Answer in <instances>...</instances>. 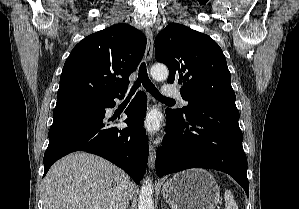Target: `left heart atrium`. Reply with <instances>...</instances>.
<instances>
[{"label":"left heart atrium","mask_w":299,"mask_h":209,"mask_svg":"<svg viewBox=\"0 0 299 209\" xmlns=\"http://www.w3.org/2000/svg\"><path fill=\"white\" fill-rule=\"evenodd\" d=\"M143 125L147 130L151 132H155L156 130H158L160 124L157 114L155 112L148 113L144 118Z\"/></svg>","instance_id":"left-heart-atrium-1"}]
</instances>
